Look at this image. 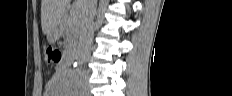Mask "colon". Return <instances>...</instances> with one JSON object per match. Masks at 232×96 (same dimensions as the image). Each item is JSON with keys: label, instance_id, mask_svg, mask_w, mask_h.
Wrapping results in <instances>:
<instances>
[{"label": "colon", "instance_id": "5ec220e1", "mask_svg": "<svg viewBox=\"0 0 232 96\" xmlns=\"http://www.w3.org/2000/svg\"><path fill=\"white\" fill-rule=\"evenodd\" d=\"M46 59L49 63H59L61 60V52L53 47L46 49Z\"/></svg>", "mask_w": 232, "mask_h": 96}]
</instances>
